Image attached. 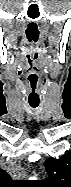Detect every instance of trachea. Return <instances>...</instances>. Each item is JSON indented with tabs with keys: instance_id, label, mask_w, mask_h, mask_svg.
<instances>
[{
	"instance_id": "obj_1",
	"label": "trachea",
	"mask_w": 71,
	"mask_h": 187,
	"mask_svg": "<svg viewBox=\"0 0 71 187\" xmlns=\"http://www.w3.org/2000/svg\"><path fill=\"white\" fill-rule=\"evenodd\" d=\"M38 105L37 104H31V107L36 108Z\"/></svg>"
}]
</instances>
